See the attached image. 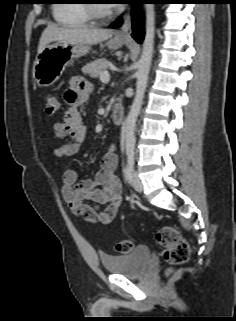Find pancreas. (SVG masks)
Here are the masks:
<instances>
[{"label":"pancreas","instance_id":"cf45deb5","mask_svg":"<svg viewBox=\"0 0 236 321\" xmlns=\"http://www.w3.org/2000/svg\"><path fill=\"white\" fill-rule=\"evenodd\" d=\"M108 61L105 58L95 60L82 68L84 74L90 75L92 78H97L107 69Z\"/></svg>","mask_w":236,"mask_h":321}]
</instances>
